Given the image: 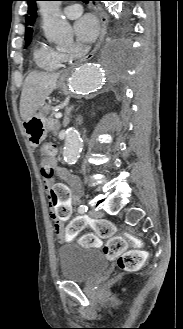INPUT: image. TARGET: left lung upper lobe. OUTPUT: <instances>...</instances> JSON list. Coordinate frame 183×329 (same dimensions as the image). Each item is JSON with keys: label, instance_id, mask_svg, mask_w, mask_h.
Listing matches in <instances>:
<instances>
[{"label": "left lung upper lobe", "instance_id": "left-lung-upper-lobe-1", "mask_svg": "<svg viewBox=\"0 0 183 329\" xmlns=\"http://www.w3.org/2000/svg\"><path fill=\"white\" fill-rule=\"evenodd\" d=\"M28 2V15L26 16V24L32 26L36 18V1L37 0H26ZM33 29L26 27L25 29V41L26 45L30 44Z\"/></svg>", "mask_w": 183, "mask_h": 329}]
</instances>
